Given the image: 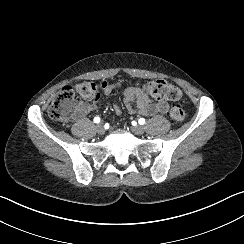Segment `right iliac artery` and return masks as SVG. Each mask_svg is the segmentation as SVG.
I'll list each match as a JSON object with an SVG mask.
<instances>
[{
  "label": "right iliac artery",
  "instance_id": "obj_1",
  "mask_svg": "<svg viewBox=\"0 0 244 244\" xmlns=\"http://www.w3.org/2000/svg\"><path fill=\"white\" fill-rule=\"evenodd\" d=\"M94 122H95V123H99V122H100V118H99V117H95V118H94ZM106 125L109 127L108 124H106Z\"/></svg>",
  "mask_w": 244,
  "mask_h": 244
}]
</instances>
